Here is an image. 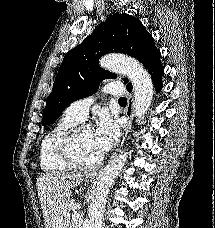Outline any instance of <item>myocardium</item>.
<instances>
[{
  "label": "myocardium",
  "mask_w": 215,
  "mask_h": 228,
  "mask_svg": "<svg viewBox=\"0 0 215 228\" xmlns=\"http://www.w3.org/2000/svg\"><path fill=\"white\" fill-rule=\"evenodd\" d=\"M84 127L86 126L83 124H77L67 130L57 141L56 154L58 159L68 168L80 171H90L101 166L103 157L101 156L98 160L89 164H83L76 159L73 152V146L80 131Z\"/></svg>",
  "instance_id": "myocardium-1"
}]
</instances>
